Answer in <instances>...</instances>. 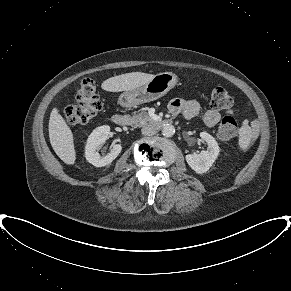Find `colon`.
I'll return each instance as SVG.
<instances>
[{"instance_id": "5ec220e1", "label": "colon", "mask_w": 291, "mask_h": 291, "mask_svg": "<svg viewBox=\"0 0 291 291\" xmlns=\"http://www.w3.org/2000/svg\"><path fill=\"white\" fill-rule=\"evenodd\" d=\"M76 104L67 106L63 113L66 121L71 125L88 123L92 120L102 108V102L92 79H84L76 91ZM211 107L214 110H223L232 104V99L228 92L217 87L212 91ZM218 134L223 140L234 139L238 134V125L232 116H226L222 119Z\"/></svg>"}]
</instances>
